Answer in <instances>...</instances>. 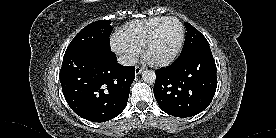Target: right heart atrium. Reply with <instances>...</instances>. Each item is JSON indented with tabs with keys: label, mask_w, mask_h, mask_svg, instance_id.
Listing matches in <instances>:
<instances>
[{
	"label": "right heart atrium",
	"mask_w": 276,
	"mask_h": 138,
	"mask_svg": "<svg viewBox=\"0 0 276 138\" xmlns=\"http://www.w3.org/2000/svg\"><path fill=\"white\" fill-rule=\"evenodd\" d=\"M112 48L116 53L121 55L127 63L134 62L139 55L138 49L127 43L121 42L118 38L112 40Z\"/></svg>",
	"instance_id": "obj_1"
}]
</instances>
